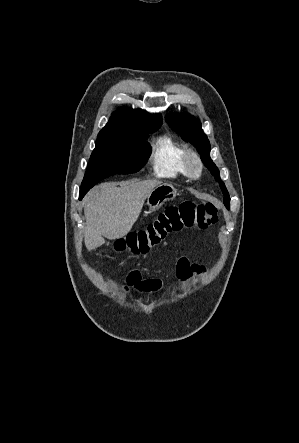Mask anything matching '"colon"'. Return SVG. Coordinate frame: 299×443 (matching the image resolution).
<instances>
[{"instance_id": "5ec220e1", "label": "colon", "mask_w": 299, "mask_h": 443, "mask_svg": "<svg viewBox=\"0 0 299 443\" xmlns=\"http://www.w3.org/2000/svg\"><path fill=\"white\" fill-rule=\"evenodd\" d=\"M218 221V208L211 202L183 201L170 206L146 228L118 238L111 251L140 255L159 244L169 233L182 229H205ZM107 253V252H105Z\"/></svg>"}]
</instances>
